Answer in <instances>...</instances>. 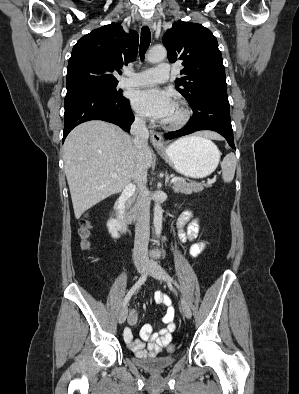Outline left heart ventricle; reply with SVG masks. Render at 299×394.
Returning a JSON list of instances; mask_svg holds the SVG:
<instances>
[{"mask_svg":"<svg viewBox=\"0 0 299 394\" xmlns=\"http://www.w3.org/2000/svg\"><path fill=\"white\" fill-rule=\"evenodd\" d=\"M178 116H179V109L177 108L176 105H174V108H173V110H172L170 116L167 118L166 121L174 120V119H176Z\"/></svg>","mask_w":299,"mask_h":394,"instance_id":"obj_1","label":"left heart ventricle"}]
</instances>
